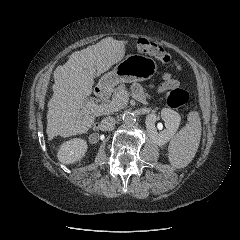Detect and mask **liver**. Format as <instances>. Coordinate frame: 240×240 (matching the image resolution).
<instances>
[{
    "instance_id": "obj_1",
    "label": "liver",
    "mask_w": 240,
    "mask_h": 240,
    "mask_svg": "<svg viewBox=\"0 0 240 240\" xmlns=\"http://www.w3.org/2000/svg\"><path fill=\"white\" fill-rule=\"evenodd\" d=\"M126 41L105 38L95 45L72 53L54 71L53 96L48 103L46 133L70 137L86 133L95 117L103 112H82L83 100L92 93L93 77L102 74L124 58Z\"/></svg>"
}]
</instances>
